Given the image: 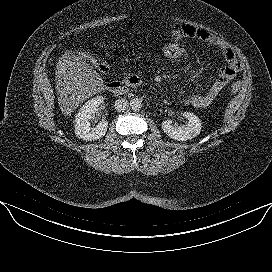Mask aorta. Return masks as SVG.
<instances>
[{
  "label": "aorta",
  "mask_w": 272,
  "mask_h": 272,
  "mask_svg": "<svg viewBox=\"0 0 272 272\" xmlns=\"http://www.w3.org/2000/svg\"><path fill=\"white\" fill-rule=\"evenodd\" d=\"M142 107V100L140 98H133L130 100V108L133 111H138Z\"/></svg>",
  "instance_id": "1"
}]
</instances>
